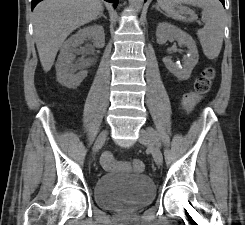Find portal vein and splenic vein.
Listing matches in <instances>:
<instances>
[{
    "mask_svg": "<svg viewBox=\"0 0 245 225\" xmlns=\"http://www.w3.org/2000/svg\"><path fill=\"white\" fill-rule=\"evenodd\" d=\"M184 13L189 14L193 19H196V15L190 9H184Z\"/></svg>",
    "mask_w": 245,
    "mask_h": 225,
    "instance_id": "1",
    "label": "portal vein and splenic vein"
}]
</instances>
